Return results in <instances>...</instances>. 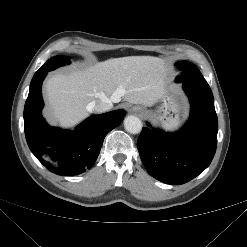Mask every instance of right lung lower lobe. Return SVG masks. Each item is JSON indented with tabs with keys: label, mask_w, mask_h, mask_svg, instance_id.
Instances as JSON below:
<instances>
[{
	"label": "right lung lower lobe",
	"mask_w": 247,
	"mask_h": 247,
	"mask_svg": "<svg viewBox=\"0 0 247 247\" xmlns=\"http://www.w3.org/2000/svg\"><path fill=\"white\" fill-rule=\"evenodd\" d=\"M47 72H36L24 108V129L28 146L51 172L62 176L78 175L90 169L105 136L123 120L126 112L116 110L95 115L75 130L50 127L41 115L42 82Z\"/></svg>",
	"instance_id": "1"
}]
</instances>
